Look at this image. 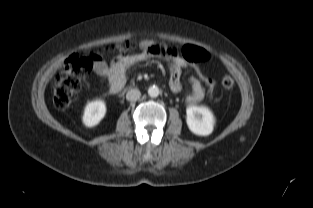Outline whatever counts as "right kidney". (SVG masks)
I'll use <instances>...</instances> for the list:
<instances>
[{
  "mask_svg": "<svg viewBox=\"0 0 313 208\" xmlns=\"http://www.w3.org/2000/svg\"><path fill=\"white\" fill-rule=\"evenodd\" d=\"M106 114V105L102 100L89 102L85 108L82 122L86 127H94L100 123Z\"/></svg>",
  "mask_w": 313,
  "mask_h": 208,
  "instance_id": "ca27d5eb",
  "label": "right kidney"
}]
</instances>
